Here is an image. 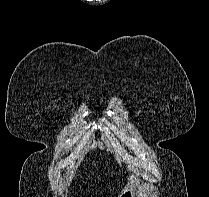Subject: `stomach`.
Returning <instances> with one entry per match:
<instances>
[{"label":"stomach","instance_id":"0dacf381","mask_svg":"<svg viewBox=\"0 0 209 197\" xmlns=\"http://www.w3.org/2000/svg\"><path fill=\"white\" fill-rule=\"evenodd\" d=\"M143 187V181L138 177L130 179L128 184L122 190L119 197H142L141 190Z\"/></svg>","mask_w":209,"mask_h":197}]
</instances>
